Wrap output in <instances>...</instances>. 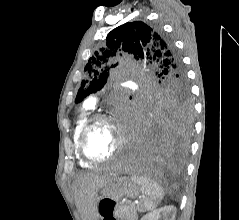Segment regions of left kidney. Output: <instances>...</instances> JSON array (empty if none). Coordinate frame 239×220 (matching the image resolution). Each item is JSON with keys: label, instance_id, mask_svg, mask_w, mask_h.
<instances>
[{"label": "left kidney", "instance_id": "1", "mask_svg": "<svg viewBox=\"0 0 239 220\" xmlns=\"http://www.w3.org/2000/svg\"><path fill=\"white\" fill-rule=\"evenodd\" d=\"M175 216L176 208L174 206H165L149 211L141 220H175Z\"/></svg>", "mask_w": 239, "mask_h": 220}]
</instances>
